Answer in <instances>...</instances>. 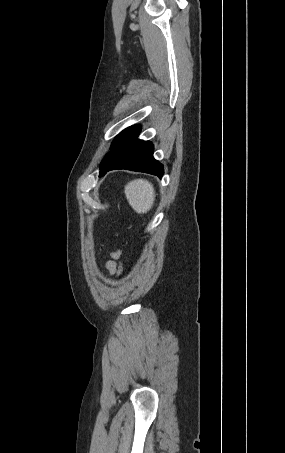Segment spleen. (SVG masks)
<instances>
[{
	"instance_id": "spleen-1",
	"label": "spleen",
	"mask_w": 285,
	"mask_h": 453,
	"mask_svg": "<svg viewBox=\"0 0 285 453\" xmlns=\"http://www.w3.org/2000/svg\"><path fill=\"white\" fill-rule=\"evenodd\" d=\"M124 193L129 205L138 214L147 213L154 204L155 191L148 180L135 179L128 182Z\"/></svg>"
}]
</instances>
